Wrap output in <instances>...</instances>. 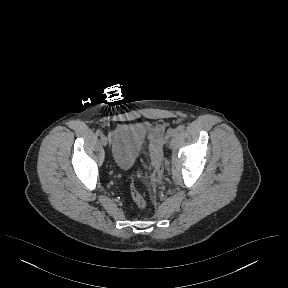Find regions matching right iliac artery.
Returning <instances> with one entry per match:
<instances>
[{
  "label": "right iliac artery",
  "instance_id": "1",
  "mask_svg": "<svg viewBox=\"0 0 288 288\" xmlns=\"http://www.w3.org/2000/svg\"><path fill=\"white\" fill-rule=\"evenodd\" d=\"M96 135H97V136H102V135H103V133H102V131H101V130H97V131H96Z\"/></svg>",
  "mask_w": 288,
  "mask_h": 288
}]
</instances>
